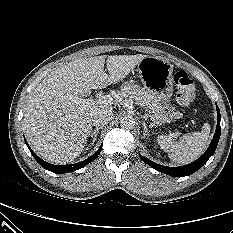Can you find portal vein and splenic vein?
<instances>
[{
    "instance_id": "obj_1",
    "label": "portal vein and splenic vein",
    "mask_w": 233,
    "mask_h": 233,
    "mask_svg": "<svg viewBox=\"0 0 233 233\" xmlns=\"http://www.w3.org/2000/svg\"><path fill=\"white\" fill-rule=\"evenodd\" d=\"M79 102L84 105L95 104V101L93 99H81ZM96 102L101 105H113L117 102V99L111 95H103V96H100Z\"/></svg>"
}]
</instances>
